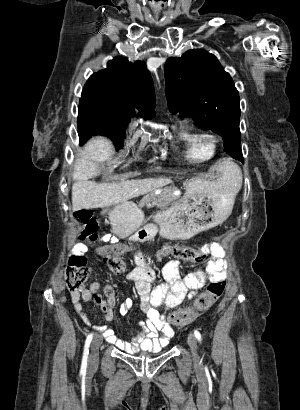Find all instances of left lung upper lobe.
Wrapping results in <instances>:
<instances>
[{
    "mask_svg": "<svg viewBox=\"0 0 300 410\" xmlns=\"http://www.w3.org/2000/svg\"><path fill=\"white\" fill-rule=\"evenodd\" d=\"M165 78L170 111L190 115L201 129L222 136L225 151L243 162L239 94L215 55L193 49L169 58Z\"/></svg>",
    "mask_w": 300,
    "mask_h": 410,
    "instance_id": "obj_1",
    "label": "left lung upper lobe"
}]
</instances>
